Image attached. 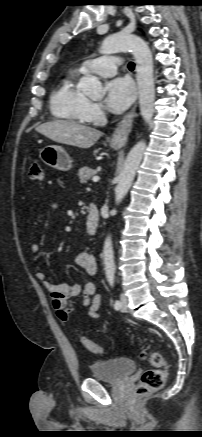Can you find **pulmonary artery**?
<instances>
[{
  "label": "pulmonary artery",
  "instance_id": "obj_1",
  "mask_svg": "<svg viewBox=\"0 0 202 437\" xmlns=\"http://www.w3.org/2000/svg\"><path fill=\"white\" fill-rule=\"evenodd\" d=\"M122 60L117 56H101L85 61L80 70L82 73H95L103 77L113 76Z\"/></svg>",
  "mask_w": 202,
  "mask_h": 437
}]
</instances>
